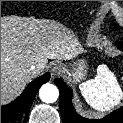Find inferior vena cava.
Masks as SVG:
<instances>
[{"instance_id": "602c4592", "label": "inferior vena cava", "mask_w": 123, "mask_h": 123, "mask_svg": "<svg viewBox=\"0 0 123 123\" xmlns=\"http://www.w3.org/2000/svg\"><path fill=\"white\" fill-rule=\"evenodd\" d=\"M36 65H32L30 68H29V72H33V71H35L36 70Z\"/></svg>"}]
</instances>
